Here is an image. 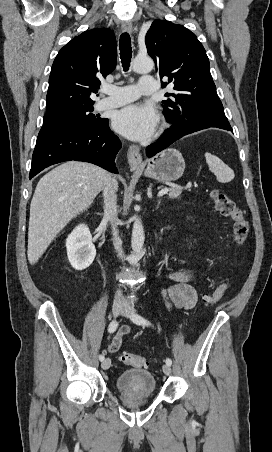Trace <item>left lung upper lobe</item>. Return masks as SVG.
I'll use <instances>...</instances> for the list:
<instances>
[{
    "label": "left lung upper lobe",
    "mask_w": 272,
    "mask_h": 452,
    "mask_svg": "<svg viewBox=\"0 0 272 452\" xmlns=\"http://www.w3.org/2000/svg\"><path fill=\"white\" fill-rule=\"evenodd\" d=\"M160 78L175 90L162 101L168 122L179 125L227 123L210 73L209 59L196 35L182 25L155 20L145 38Z\"/></svg>",
    "instance_id": "5c2ea615"
}]
</instances>
